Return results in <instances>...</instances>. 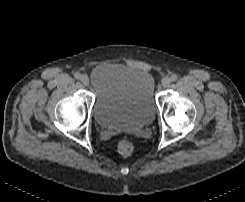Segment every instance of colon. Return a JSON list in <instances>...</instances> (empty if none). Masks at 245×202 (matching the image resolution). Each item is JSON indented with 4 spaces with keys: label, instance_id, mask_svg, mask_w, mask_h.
<instances>
[{
    "label": "colon",
    "instance_id": "5ec220e1",
    "mask_svg": "<svg viewBox=\"0 0 245 202\" xmlns=\"http://www.w3.org/2000/svg\"><path fill=\"white\" fill-rule=\"evenodd\" d=\"M135 146L132 141L128 139H122L118 143V152L123 157H131L134 154Z\"/></svg>",
    "mask_w": 245,
    "mask_h": 202
}]
</instances>
